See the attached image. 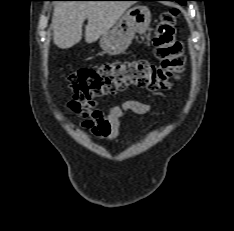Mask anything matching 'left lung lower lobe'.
Masks as SVG:
<instances>
[{
    "instance_id": "1",
    "label": "left lung lower lobe",
    "mask_w": 234,
    "mask_h": 231,
    "mask_svg": "<svg viewBox=\"0 0 234 231\" xmlns=\"http://www.w3.org/2000/svg\"><path fill=\"white\" fill-rule=\"evenodd\" d=\"M145 1H152V0H145ZM171 1H176V0H171Z\"/></svg>"
}]
</instances>
